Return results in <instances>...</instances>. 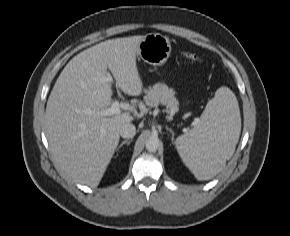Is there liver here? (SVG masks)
Instances as JSON below:
<instances>
[{
  "instance_id": "6515ba94",
  "label": "liver",
  "mask_w": 290,
  "mask_h": 236,
  "mask_svg": "<svg viewBox=\"0 0 290 236\" xmlns=\"http://www.w3.org/2000/svg\"><path fill=\"white\" fill-rule=\"evenodd\" d=\"M145 36L106 40L74 56L60 73L47 101L46 134L59 169L81 184L97 187L120 139V128L136 116L137 101L125 112L102 116L112 98L109 69L125 94L139 96L143 84L136 56Z\"/></svg>"
}]
</instances>
